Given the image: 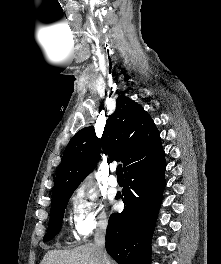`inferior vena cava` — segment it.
I'll return each instance as SVG.
<instances>
[{"mask_svg": "<svg viewBox=\"0 0 221 264\" xmlns=\"http://www.w3.org/2000/svg\"><path fill=\"white\" fill-rule=\"evenodd\" d=\"M107 226L106 221H101L98 224V229L95 233L94 241H95V247L97 251L98 258L100 259L102 264H110L109 258L107 256L106 250H105V229Z\"/></svg>", "mask_w": 221, "mask_h": 264, "instance_id": "1", "label": "inferior vena cava"}]
</instances>
